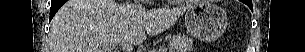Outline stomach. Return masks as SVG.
<instances>
[{"label":"stomach","instance_id":"0dacf381","mask_svg":"<svg viewBox=\"0 0 305 52\" xmlns=\"http://www.w3.org/2000/svg\"><path fill=\"white\" fill-rule=\"evenodd\" d=\"M184 21L187 31L203 41L219 38L227 26V15L211 1H196L185 11Z\"/></svg>","mask_w":305,"mask_h":52}]
</instances>
